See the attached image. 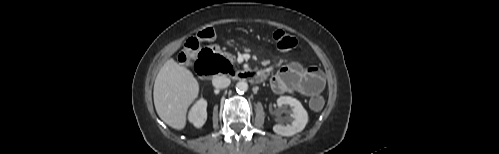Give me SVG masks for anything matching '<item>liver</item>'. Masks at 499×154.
I'll use <instances>...</instances> for the list:
<instances>
[{
  "mask_svg": "<svg viewBox=\"0 0 499 154\" xmlns=\"http://www.w3.org/2000/svg\"><path fill=\"white\" fill-rule=\"evenodd\" d=\"M198 93L199 84L192 72L174 59H168L154 83L153 98L158 116L170 127L184 129L188 107Z\"/></svg>",
  "mask_w": 499,
  "mask_h": 154,
  "instance_id": "1",
  "label": "liver"
}]
</instances>
